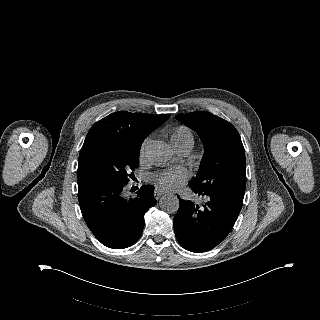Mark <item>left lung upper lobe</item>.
Returning a JSON list of instances; mask_svg holds the SVG:
<instances>
[{
    "instance_id": "5c2ea615",
    "label": "left lung upper lobe",
    "mask_w": 320,
    "mask_h": 320,
    "mask_svg": "<svg viewBox=\"0 0 320 320\" xmlns=\"http://www.w3.org/2000/svg\"><path fill=\"white\" fill-rule=\"evenodd\" d=\"M176 119L197 132L204 145L199 170L189 187L197 191L223 185L246 187L245 150L232 124L205 111L179 114Z\"/></svg>"
}]
</instances>
